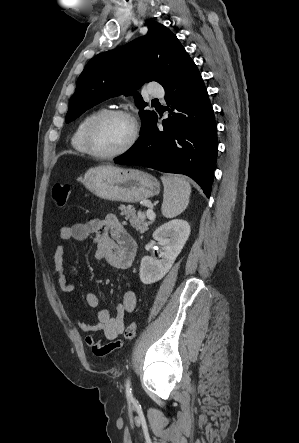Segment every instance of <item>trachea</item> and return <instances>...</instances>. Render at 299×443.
I'll use <instances>...</instances> for the list:
<instances>
[{
    "mask_svg": "<svg viewBox=\"0 0 299 443\" xmlns=\"http://www.w3.org/2000/svg\"><path fill=\"white\" fill-rule=\"evenodd\" d=\"M152 102H158V99H154V100H152Z\"/></svg>",
    "mask_w": 299,
    "mask_h": 443,
    "instance_id": "3493384b",
    "label": "trachea"
}]
</instances>
